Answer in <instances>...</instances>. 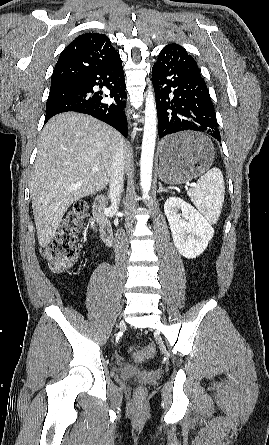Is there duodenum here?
Listing matches in <instances>:
<instances>
[{
  "label": "duodenum",
  "instance_id": "410a0bca",
  "mask_svg": "<svg viewBox=\"0 0 269 445\" xmlns=\"http://www.w3.org/2000/svg\"><path fill=\"white\" fill-rule=\"evenodd\" d=\"M105 205L106 197L99 195L93 204V214L99 226L101 238L107 245H111L113 241V228L105 214Z\"/></svg>",
  "mask_w": 269,
  "mask_h": 445
}]
</instances>
